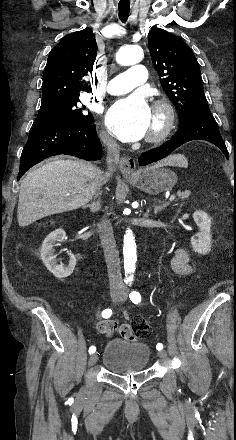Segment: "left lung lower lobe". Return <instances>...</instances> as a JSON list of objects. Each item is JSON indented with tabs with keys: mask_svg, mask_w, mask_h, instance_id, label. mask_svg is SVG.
I'll list each match as a JSON object with an SVG mask.
<instances>
[{
	"mask_svg": "<svg viewBox=\"0 0 236 440\" xmlns=\"http://www.w3.org/2000/svg\"><path fill=\"white\" fill-rule=\"evenodd\" d=\"M192 140L211 142L221 149L226 158H228V151L219 133L218 125L209 108H203L197 110L186 122L179 125V130L170 141L141 154L138 158L139 165L144 166L161 160L182 144Z\"/></svg>",
	"mask_w": 236,
	"mask_h": 440,
	"instance_id": "1",
	"label": "left lung lower lobe"
}]
</instances>
